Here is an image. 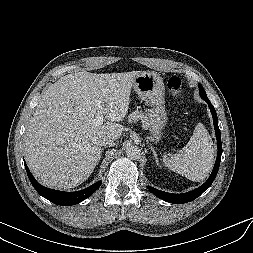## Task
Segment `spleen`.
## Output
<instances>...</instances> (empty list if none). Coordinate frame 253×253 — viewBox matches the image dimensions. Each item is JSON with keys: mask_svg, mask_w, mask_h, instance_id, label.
Listing matches in <instances>:
<instances>
[{"mask_svg": "<svg viewBox=\"0 0 253 253\" xmlns=\"http://www.w3.org/2000/svg\"><path fill=\"white\" fill-rule=\"evenodd\" d=\"M165 166L192 181H203L214 164L212 139L202 123H198L189 142L171 158H163Z\"/></svg>", "mask_w": 253, "mask_h": 253, "instance_id": "spleen-1", "label": "spleen"}]
</instances>
